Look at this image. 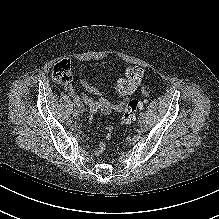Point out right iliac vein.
<instances>
[{"label":"right iliac vein","mask_w":219,"mask_h":219,"mask_svg":"<svg viewBox=\"0 0 219 219\" xmlns=\"http://www.w3.org/2000/svg\"><path fill=\"white\" fill-rule=\"evenodd\" d=\"M81 110H82L81 108H75L74 111H73V116L75 118H78L79 115H80Z\"/></svg>","instance_id":"1"}]
</instances>
